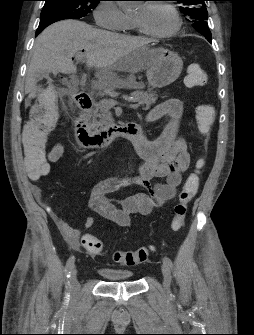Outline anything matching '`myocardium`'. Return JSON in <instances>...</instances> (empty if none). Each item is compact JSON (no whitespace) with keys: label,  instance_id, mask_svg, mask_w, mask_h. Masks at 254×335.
<instances>
[{"label":"myocardium","instance_id":"f54148a6","mask_svg":"<svg viewBox=\"0 0 254 335\" xmlns=\"http://www.w3.org/2000/svg\"><path fill=\"white\" fill-rule=\"evenodd\" d=\"M151 4H153V5H163V6L167 7L172 12V14L174 16L175 24H174L173 28L170 29L167 32L155 33V32L147 31L146 29H144L141 26V24L138 21L133 19V22H134L136 28L138 29V31L140 33L146 35V36L156 38V39H167V38H170V37L174 36L181 29V26H182L181 16H180V13L177 10V8L173 4H171L169 2H165V1H156V2H153Z\"/></svg>","mask_w":254,"mask_h":335}]
</instances>
